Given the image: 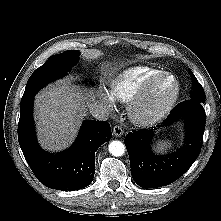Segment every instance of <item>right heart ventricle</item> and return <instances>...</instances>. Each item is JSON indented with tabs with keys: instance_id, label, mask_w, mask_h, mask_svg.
I'll return each instance as SVG.
<instances>
[{
	"instance_id": "1",
	"label": "right heart ventricle",
	"mask_w": 221,
	"mask_h": 221,
	"mask_svg": "<svg viewBox=\"0 0 221 221\" xmlns=\"http://www.w3.org/2000/svg\"><path fill=\"white\" fill-rule=\"evenodd\" d=\"M160 72L149 66L127 68L111 81L109 94L113 100L128 104L144 82Z\"/></svg>"
}]
</instances>
